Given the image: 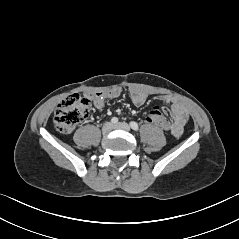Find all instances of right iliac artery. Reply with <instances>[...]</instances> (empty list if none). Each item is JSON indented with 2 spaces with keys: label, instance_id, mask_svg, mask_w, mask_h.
Here are the masks:
<instances>
[{
  "label": "right iliac artery",
  "instance_id": "82829eb1",
  "mask_svg": "<svg viewBox=\"0 0 239 239\" xmlns=\"http://www.w3.org/2000/svg\"><path fill=\"white\" fill-rule=\"evenodd\" d=\"M111 122H112L113 124L118 123V118H117V117H113V118L111 119Z\"/></svg>",
  "mask_w": 239,
  "mask_h": 239
}]
</instances>
